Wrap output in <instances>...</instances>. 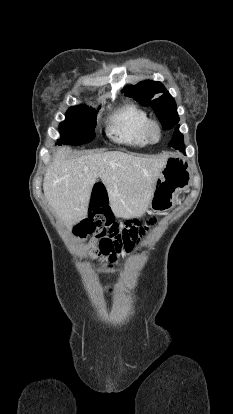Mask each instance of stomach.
<instances>
[{
    "label": "stomach",
    "mask_w": 233,
    "mask_h": 414,
    "mask_svg": "<svg viewBox=\"0 0 233 414\" xmlns=\"http://www.w3.org/2000/svg\"><path fill=\"white\" fill-rule=\"evenodd\" d=\"M190 184V168L188 161L180 154L168 156L160 176L157 178L150 207L155 210H164L171 206L172 200L178 192L186 189Z\"/></svg>",
    "instance_id": "obj_1"
}]
</instances>
